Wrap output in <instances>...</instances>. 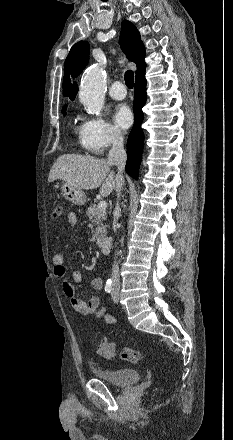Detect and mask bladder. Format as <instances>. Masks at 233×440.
I'll return each instance as SVG.
<instances>
[{"label":"bladder","mask_w":233,"mask_h":440,"mask_svg":"<svg viewBox=\"0 0 233 440\" xmlns=\"http://www.w3.org/2000/svg\"><path fill=\"white\" fill-rule=\"evenodd\" d=\"M92 371L97 378L114 386L123 387L133 385L138 382L140 378L139 372L131 368L108 370L93 366Z\"/></svg>","instance_id":"obj_1"}]
</instances>
